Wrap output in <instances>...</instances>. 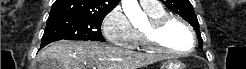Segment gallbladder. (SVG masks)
<instances>
[{"instance_id": "obj_1", "label": "gallbladder", "mask_w": 246, "mask_h": 69, "mask_svg": "<svg viewBox=\"0 0 246 69\" xmlns=\"http://www.w3.org/2000/svg\"><path fill=\"white\" fill-rule=\"evenodd\" d=\"M40 69H59L58 64L54 63L50 59H45L41 65L39 66Z\"/></svg>"}]
</instances>
